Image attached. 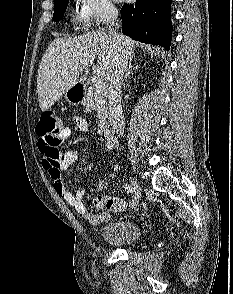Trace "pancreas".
Here are the masks:
<instances>
[{
    "label": "pancreas",
    "instance_id": "pancreas-1",
    "mask_svg": "<svg viewBox=\"0 0 233 294\" xmlns=\"http://www.w3.org/2000/svg\"><path fill=\"white\" fill-rule=\"evenodd\" d=\"M105 94L103 92H96L94 88L88 89L83 99V103L86 107L95 110L97 112V124L100 130L107 127V107L105 106Z\"/></svg>",
    "mask_w": 233,
    "mask_h": 294
}]
</instances>
